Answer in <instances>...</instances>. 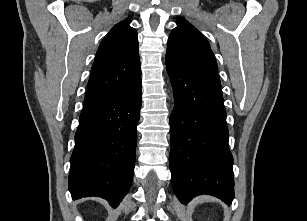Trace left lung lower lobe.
<instances>
[{"instance_id": "0a47b994", "label": "left lung lower lobe", "mask_w": 307, "mask_h": 221, "mask_svg": "<svg viewBox=\"0 0 307 221\" xmlns=\"http://www.w3.org/2000/svg\"><path fill=\"white\" fill-rule=\"evenodd\" d=\"M175 107L170 117V171L181 203L210 194L225 203L234 198L233 157L223 95L166 56Z\"/></svg>"}]
</instances>
